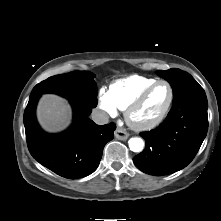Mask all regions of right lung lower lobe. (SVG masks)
I'll return each instance as SVG.
<instances>
[{
    "label": "right lung lower lobe",
    "mask_w": 221,
    "mask_h": 221,
    "mask_svg": "<svg viewBox=\"0 0 221 221\" xmlns=\"http://www.w3.org/2000/svg\"><path fill=\"white\" fill-rule=\"evenodd\" d=\"M40 96L29 99L24 125L29 151L33 158L56 174L76 179L93 173L107 142L113 139L116 126L97 125L88 118L92 108L70 102L74 111L71 127L60 134L44 132L36 121L35 110Z\"/></svg>",
    "instance_id": "right-lung-lower-lobe-1"
}]
</instances>
